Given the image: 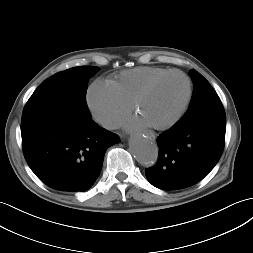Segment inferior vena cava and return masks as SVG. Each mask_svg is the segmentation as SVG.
I'll return each instance as SVG.
<instances>
[{"mask_svg":"<svg viewBox=\"0 0 253 253\" xmlns=\"http://www.w3.org/2000/svg\"><path fill=\"white\" fill-rule=\"evenodd\" d=\"M102 124H103V126H105L107 128H115L116 127V125L113 123L112 119H110V118L103 119Z\"/></svg>","mask_w":253,"mask_h":253,"instance_id":"inferior-vena-cava-1","label":"inferior vena cava"}]
</instances>
